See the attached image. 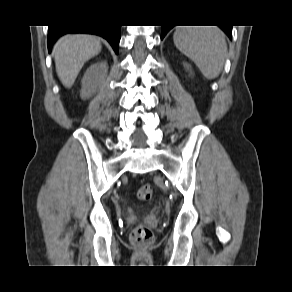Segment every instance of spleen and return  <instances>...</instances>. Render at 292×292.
I'll use <instances>...</instances> for the list:
<instances>
[{
  "label": "spleen",
  "mask_w": 292,
  "mask_h": 292,
  "mask_svg": "<svg viewBox=\"0 0 292 292\" xmlns=\"http://www.w3.org/2000/svg\"><path fill=\"white\" fill-rule=\"evenodd\" d=\"M173 40L177 49L195 63L205 78L211 80L219 76L227 55V43L219 28L177 27Z\"/></svg>",
  "instance_id": "obj_1"
}]
</instances>
